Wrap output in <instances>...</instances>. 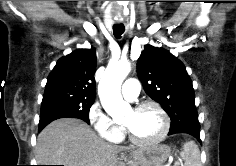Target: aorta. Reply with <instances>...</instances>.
Masks as SVG:
<instances>
[{
	"mask_svg": "<svg viewBox=\"0 0 236 166\" xmlns=\"http://www.w3.org/2000/svg\"><path fill=\"white\" fill-rule=\"evenodd\" d=\"M131 70L130 63L121 61L106 69L98 86V94L105 111L117 118L130 110V105L121 96L120 89L123 80Z\"/></svg>",
	"mask_w": 236,
	"mask_h": 166,
	"instance_id": "obj_1",
	"label": "aorta"
}]
</instances>
